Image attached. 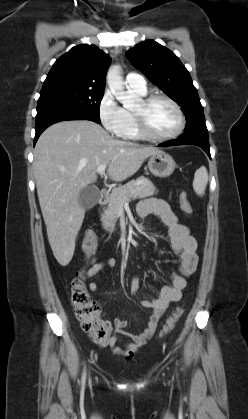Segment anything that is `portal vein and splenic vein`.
Masks as SVG:
<instances>
[{
	"label": "portal vein and splenic vein",
	"mask_w": 248,
	"mask_h": 419,
	"mask_svg": "<svg viewBox=\"0 0 248 419\" xmlns=\"http://www.w3.org/2000/svg\"><path fill=\"white\" fill-rule=\"evenodd\" d=\"M105 170H106V164H102L97 168V173L102 176L105 174Z\"/></svg>",
	"instance_id": "obj_1"
}]
</instances>
